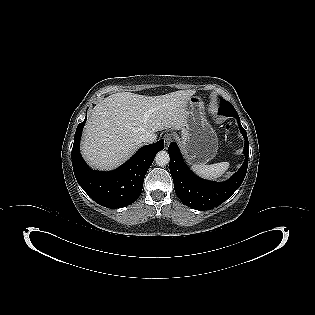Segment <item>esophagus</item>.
I'll use <instances>...</instances> for the list:
<instances>
[{
    "instance_id": "esophagus-1",
    "label": "esophagus",
    "mask_w": 315,
    "mask_h": 315,
    "mask_svg": "<svg viewBox=\"0 0 315 315\" xmlns=\"http://www.w3.org/2000/svg\"><path fill=\"white\" fill-rule=\"evenodd\" d=\"M172 135L171 134H165L164 136V142H165V149H167L170 145V143L172 142Z\"/></svg>"
}]
</instances>
